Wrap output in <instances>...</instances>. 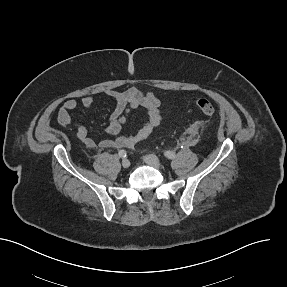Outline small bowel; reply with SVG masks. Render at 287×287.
Segmentation results:
<instances>
[{
	"mask_svg": "<svg viewBox=\"0 0 287 287\" xmlns=\"http://www.w3.org/2000/svg\"><path fill=\"white\" fill-rule=\"evenodd\" d=\"M105 94L115 100L116 106L110 115V123L106 128V133L112 138H106L97 142L88 134L87 128L75 121L71 112L74 111L78 103L75 99H68L58 111V121L63 127H72L76 131L77 139L87 148H132L137 143L148 138L162 121L161 104L158 97L151 92H142L135 87H130L124 91L109 89ZM94 98L87 95L82 98L81 104L85 109H90ZM136 108H142L147 114L144 125L134 134L127 136H117L127 120L129 112Z\"/></svg>",
	"mask_w": 287,
	"mask_h": 287,
	"instance_id": "small-bowel-1",
	"label": "small bowel"
}]
</instances>
